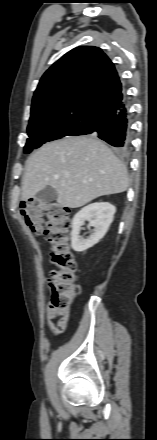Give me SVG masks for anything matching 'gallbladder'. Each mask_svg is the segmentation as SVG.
Returning <instances> with one entry per match:
<instances>
[{
  "mask_svg": "<svg viewBox=\"0 0 157 440\" xmlns=\"http://www.w3.org/2000/svg\"><path fill=\"white\" fill-rule=\"evenodd\" d=\"M37 197L39 200L45 203L54 201L57 198L56 190L52 187H46L38 192Z\"/></svg>",
  "mask_w": 157,
  "mask_h": 440,
  "instance_id": "obj_1",
  "label": "gallbladder"
}]
</instances>
